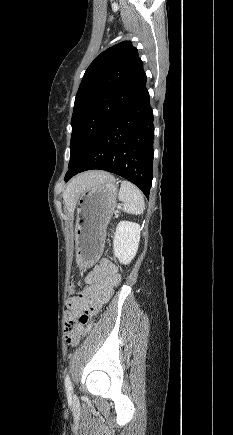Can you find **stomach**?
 Returning <instances> with one entry per match:
<instances>
[{
    "label": "stomach",
    "instance_id": "obj_1",
    "mask_svg": "<svg viewBox=\"0 0 233 435\" xmlns=\"http://www.w3.org/2000/svg\"><path fill=\"white\" fill-rule=\"evenodd\" d=\"M118 183L112 175L86 189L77 201L75 224L76 261L81 270L101 256L106 227L114 213Z\"/></svg>",
    "mask_w": 233,
    "mask_h": 435
}]
</instances>
